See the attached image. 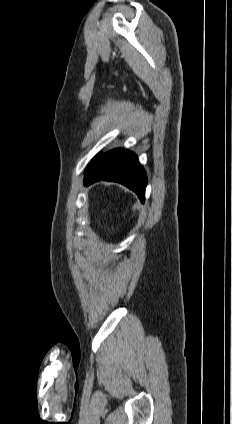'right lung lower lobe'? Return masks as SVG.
I'll return each instance as SVG.
<instances>
[{"instance_id": "obj_1", "label": "right lung lower lobe", "mask_w": 232, "mask_h": 424, "mask_svg": "<svg viewBox=\"0 0 232 424\" xmlns=\"http://www.w3.org/2000/svg\"><path fill=\"white\" fill-rule=\"evenodd\" d=\"M107 180L119 182L133 190L144 203L147 177L136 155L115 149L100 154L86 169L84 184Z\"/></svg>"}]
</instances>
